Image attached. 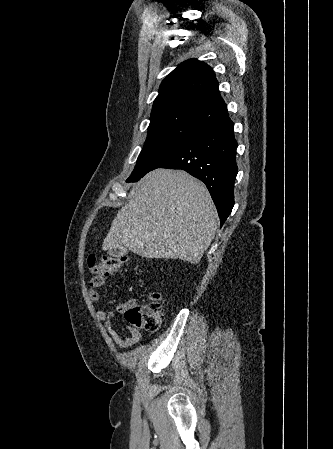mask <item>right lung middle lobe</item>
I'll return each mask as SVG.
<instances>
[{
	"label": "right lung middle lobe",
	"instance_id": "right-lung-middle-lobe-1",
	"mask_svg": "<svg viewBox=\"0 0 333 449\" xmlns=\"http://www.w3.org/2000/svg\"><path fill=\"white\" fill-rule=\"evenodd\" d=\"M200 130H202L200 127L194 125L171 124L149 131L128 182L142 178L169 153Z\"/></svg>",
	"mask_w": 333,
	"mask_h": 449
}]
</instances>
